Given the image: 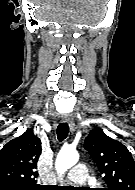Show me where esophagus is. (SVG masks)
I'll return each instance as SVG.
<instances>
[{"label":"esophagus","mask_w":135,"mask_h":190,"mask_svg":"<svg viewBox=\"0 0 135 190\" xmlns=\"http://www.w3.org/2000/svg\"><path fill=\"white\" fill-rule=\"evenodd\" d=\"M63 122L68 123L70 126V130L73 132L75 130V123L73 121V118L70 115H65L63 117Z\"/></svg>","instance_id":"obj_1"}]
</instances>
